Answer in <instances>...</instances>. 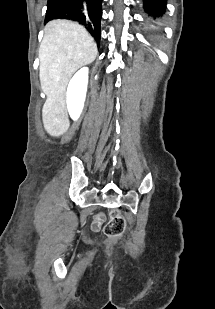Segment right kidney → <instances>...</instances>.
Listing matches in <instances>:
<instances>
[{"mask_svg": "<svg viewBox=\"0 0 215 309\" xmlns=\"http://www.w3.org/2000/svg\"><path fill=\"white\" fill-rule=\"evenodd\" d=\"M88 72V66H83V68L77 70L68 84L66 104L68 112L73 120H77L83 110L87 92Z\"/></svg>", "mask_w": 215, "mask_h": 309, "instance_id": "ca27d5eb", "label": "right kidney"}]
</instances>
